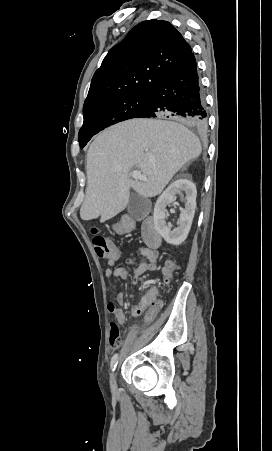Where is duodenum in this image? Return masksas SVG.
Masks as SVG:
<instances>
[{
    "mask_svg": "<svg viewBox=\"0 0 272 451\" xmlns=\"http://www.w3.org/2000/svg\"><path fill=\"white\" fill-rule=\"evenodd\" d=\"M132 228L133 223L130 220H125L118 226V231L120 233H126L132 230ZM142 234L144 242L148 247L156 249L160 246L161 236L152 219L149 218L143 222Z\"/></svg>",
    "mask_w": 272,
    "mask_h": 451,
    "instance_id": "410a0bca",
    "label": "duodenum"
}]
</instances>
